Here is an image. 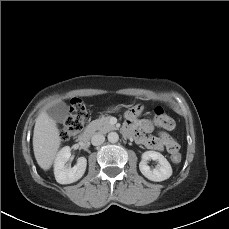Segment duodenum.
Instances as JSON below:
<instances>
[{"label": "duodenum", "mask_w": 229, "mask_h": 229, "mask_svg": "<svg viewBox=\"0 0 229 229\" xmlns=\"http://www.w3.org/2000/svg\"><path fill=\"white\" fill-rule=\"evenodd\" d=\"M94 135V129L93 128H89L86 132H84L82 135H80L78 142L80 144H87L90 142V140L92 139Z\"/></svg>", "instance_id": "duodenum-1"}]
</instances>
